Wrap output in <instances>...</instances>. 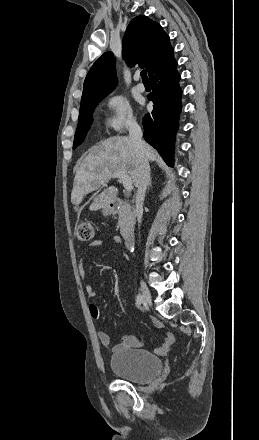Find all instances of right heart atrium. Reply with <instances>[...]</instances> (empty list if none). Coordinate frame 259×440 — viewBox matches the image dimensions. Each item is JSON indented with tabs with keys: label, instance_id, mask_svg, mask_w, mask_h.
I'll use <instances>...</instances> for the list:
<instances>
[{
	"label": "right heart atrium",
	"instance_id": "right-heart-atrium-1",
	"mask_svg": "<svg viewBox=\"0 0 259 440\" xmlns=\"http://www.w3.org/2000/svg\"><path fill=\"white\" fill-rule=\"evenodd\" d=\"M108 114L105 119V126L113 132H122L135 123L130 102L120 94H112L106 99Z\"/></svg>",
	"mask_w": 259,
	"mask_h": 440
}]
</instances>
